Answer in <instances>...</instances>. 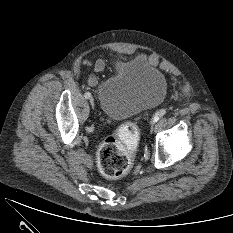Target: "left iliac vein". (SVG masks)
Wrapping results in <instances>:
<instances>
[{
	"instance_id": "left-iliac-vein-1",
	"label": "left iliac vein",
	"mask_w": 233,
	"mask_h": 233,
	"mask_svg": "<svg viewBox=\"0 0 233 233\" xmlns=\"http://www.w3.org/2000/svg\"><path fill=\"white\" fill-rule=\"evenodd\" d=\"M154 130V122L151 125V132Z\"/></svg>"
}]
</instances>
